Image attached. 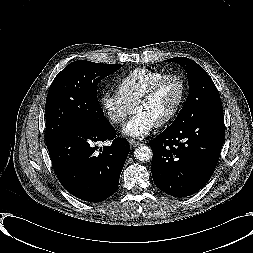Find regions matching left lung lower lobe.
<instances>
[{
	"mask_svg": "<svg viewBox=\"0 0 253 253\" xmlns=\"http://www.w3.org/2000/svg\"><path fill=\"white\" fill-rule=\"evenodd\" d=\"M224 136L223 109L166 128L150 141L155 185L174 197L202 189L217 166Z\"/></svg>",
	"mask_w": 253,
	"mask_h": 253,
	"instance_id": "0a47b994",
	"label": "left lung lower lobe"
}]
</instances>
